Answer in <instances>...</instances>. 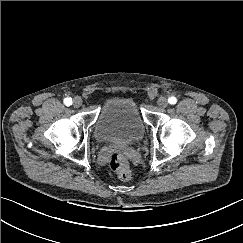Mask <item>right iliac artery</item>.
Wrapping results in <instances>:
<instances>
[{
    "instance_id": "obj_1",
    "label": "right iliac artery",
    "mask_w": 243,
    "mask_h": 243,
    "mask_svg": "<svg viewBox=\"0 0 243 243\" xmlns=\"http://www.w3.org/2000/svg\"><path fill=\"white\" fill-rule=\"evenodd\" d=\"M64 104H65L66 106H70V105L72 104V99H71V98H65V99H64Z\"/></svg>"
}]
</instances>
